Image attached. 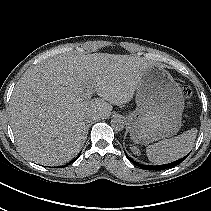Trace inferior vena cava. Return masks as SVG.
<instances>
[{
	"mask_svg": "<svg viewBox=\"0 0 211 211\" xmlns=\"http://www.w3.org/2000/svg\"><path fill=\"white\" fill-rule=\"evenodd\" d=\"M95 119H96V116H94V115H88V116H86L85 121L86 122H90V121L95 120Z\"/></svg>",
	"mask_w": 211,
	"mask_h": 211,
	"instance_id": "602c4592",
	"label": "inferior vena cava"
}]
</instances>
